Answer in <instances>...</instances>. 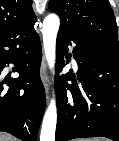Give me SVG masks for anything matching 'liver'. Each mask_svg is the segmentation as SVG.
Segmentation results:
<instances>
[{
  "label": "liver",
  "mask_w": 119,
  "mask_h": 141,
  "mask_svg": "<svg viewBox=\"0 0 119 141\" xmlns=\"http://www.w3.org/2000/svg\"><path fill=\"white\" fill-rule=\"evenodd\" d=\"M0 141H16L12 136L0 132Z\"/></svg>",
  "instance_id": "liver-1"
}]
</instances>
